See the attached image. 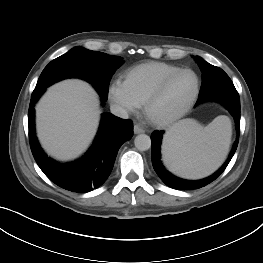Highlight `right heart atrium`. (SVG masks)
Returning <instances> with one entry per match:
<instances>
[{
  "label": "right heart atrium",
  "mask_w": 263,
  "mask_h": 263,
  "mask_svg": "<svg viewBox=\"0 0 263 263\" xmlns=\"http://www.w3.org/2000/svg\"><path fill=\"white\" fill-rule=\"evenodd\" d=\"M107 93L110 103L122 115L134 113L140 106L121 80L113 81L109 85Z\"/></svg>",
  "instance_id": "1"
}]
</instances>
